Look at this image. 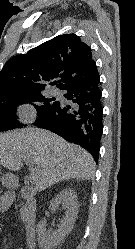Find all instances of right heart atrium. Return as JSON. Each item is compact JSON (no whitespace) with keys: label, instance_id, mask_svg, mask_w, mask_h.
I'll use <instances>...</instances> for the list:
<instances>
[{"label":"right heart atrium","instance_id":"d8ad5b80","mask_svg":"<svg viewBox=\"0 0 135 249\" xmlns=\"http://www.w3.org/2000/svg\"><path fill=\"white\" fill-rule=\"evenodd\" d=\"M15 113L17 120L22 124H31L37 118V111L30 104L18 106Z\"/></svg>","mask_w":135,"mask_h":249}]
</instances>
